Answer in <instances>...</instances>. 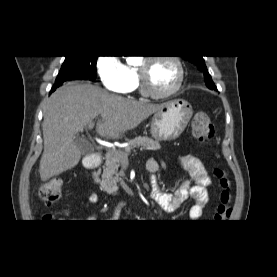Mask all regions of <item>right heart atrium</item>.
<instances>
[{
    "label": "right heart atrium",
    "instance_id": "d8ad5b80",
    "mask_svg": "<svg viewBox=\"0 0 277 277\" xmlns=\"http://www.w3.org/2000/svg\"><path fill=\"white\" fill-rule=\"evenodd\" d=\"M98 76L103 86L113 92L125 93L131 85L128 66L116 54L101 55L96 62Z\"/></svg>",
    "mask_w": 277,
    "mask_h": 277
}]
</instances>
